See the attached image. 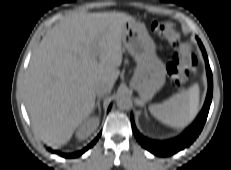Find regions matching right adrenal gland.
<instances>
[{"label":"right adrenal gland","instance_id":"1","mask_svg":"<svg viewBox=\"0 0 231 170\" xmlns=\"http://www.w3.org/2000/svg\"><path fill=\"white\" fill-rule=\"evenodd\" d=\"M96 106H98V107L100 106V99L97 100Z\"/></svg>","mask_w":231,"mask_h":170}]
</instances>
